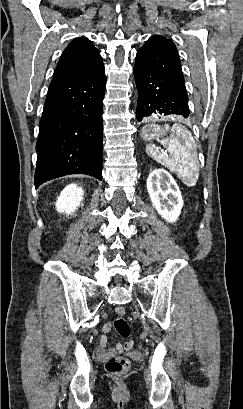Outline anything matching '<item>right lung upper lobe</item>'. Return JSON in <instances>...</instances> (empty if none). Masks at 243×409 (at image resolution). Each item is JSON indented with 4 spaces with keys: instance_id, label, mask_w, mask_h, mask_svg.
<instances>
[{
    "instance_id": "obj_1",
    "label": "right lung upper lobe",
    "mask_w": 243,
    "mask_h": 409,
    "mask_svg": "<svg viewBox=\"0 0 243 409\" xmlns=\"http://www.w3.org/2000/svg\"><path fill=\"white\" fill-rule=\"evenodd\" d=\"M102 66V57L93 43L85 37L76 38L63 51L54 78L84 77Z\"/></svg>"
}]
</instances>
